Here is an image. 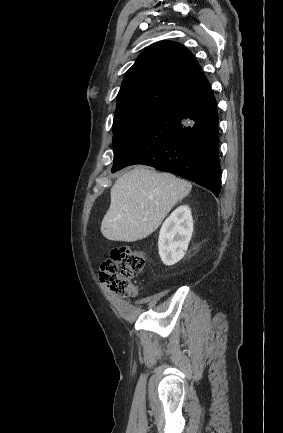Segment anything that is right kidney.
<instances>
[{
	"instance_id": "ca27d5eb",
	"label": "right kidney",
	"mask_w": 283,
	"mask_h": 433,
	"mask_svg": "<svg viewBox=\"0 0 283 433\" xmlns=\"http://www.w3.org/2000/svg\"><path fill=\"white\" fill-rule=\"evenodd\" d=\"M192 232L191 209L187 205H181L170 214L160 229L158 248L165 265H174L184 257Z\"/></svg>"
}]
</instances>
